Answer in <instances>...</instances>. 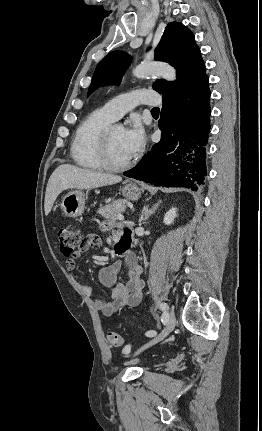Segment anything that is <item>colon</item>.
I'll list each match as a JSON object with an SVG mask.
<instances>
[{"label": "colon", "mask_w": 262, "mask_h": 431, "mask_svg": "<svg viewBox=\"0 0 262 431\" xmlns=\"http://www.w3.org/2000/svg\"><path fill=\"white\" fill-rule=\"evenodd\" d=\"M58 242L61 253L65 257L72 258L89 248L98 246L100 239L96 235L84 234L79 228L64 227L58 233ZM107 339L112 346H120L123 343L121 335L117 332L108 333Z\"/></svg>", "instance_id": "obj_1"}]
</instances>
